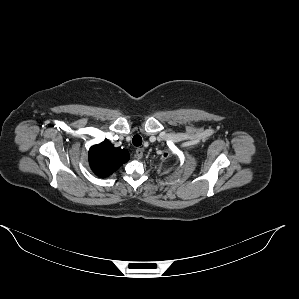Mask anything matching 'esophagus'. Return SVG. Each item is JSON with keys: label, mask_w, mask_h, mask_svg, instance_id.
Wrapping results in <instances>:
<instances>
[{"label": "esophagus", "mask_w": 299, "mask_h": 299, "mask_svg": "<svg viewBox=\"0 0 299 299\" xmlns=\"http://www.w3.org/2000/svg\"><path fill=\"white\" fill-rule=\"evenodd\" d=\"M135 157L137 159H141L143 157V150L141 148H137L135 152Z\"/></svg>", "instance_id": "1"}]
</instances>
